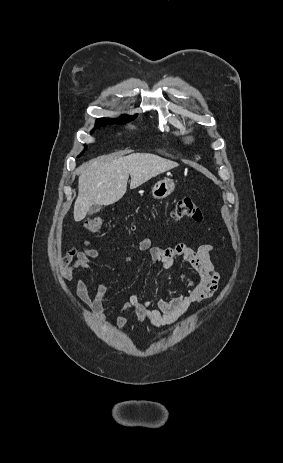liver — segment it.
Segmentation results:
<instances>
[{"label": "liver", "instance_id": "1", "mask_svg": "<svg viewBox=\"0 0 283 463\" xmlns=\"http://www.w3.org/2000/svg\"><path fill=\"white\" fill-rule=\"evenodd\" d=\"M178 166L174 161L150 153L90 160L79 168L74 220H83L94 205H111L120 200L126 193L129 175L130 189H135L152 177Z\"/></svg>", "mask_w": 283, "mask_h": 463}]
</instances>
